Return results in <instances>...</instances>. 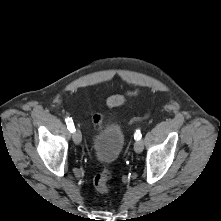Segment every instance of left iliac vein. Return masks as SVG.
I'll use <instances>...</instances> for the list:
<instances>
[{
  "mask_svg": "<svg viewBox=\"0 0 221 221\" xmlns=\"http://www.w3.org/2000/svg\"><path fill=\"white\" fill-rule=\"evenodd\" d=\"M134 150L137 152V153H140L142 152L143 150V142L140 141V140H137L134 144Z\"/></svg>",
  "mask_w": 221,
  "mask_h": 221,
  "instance_id": "4c4485c4",
  "label": "left iliac vein"
}]
</instances>
